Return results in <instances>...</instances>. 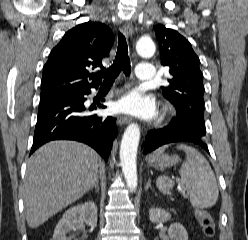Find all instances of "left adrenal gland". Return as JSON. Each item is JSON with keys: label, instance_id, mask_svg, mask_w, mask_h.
<instances>
[{"label": "left adrenal gland", "instance_id": "obj_1", "mask_svg": "<svg viewBox=\"0 0 248 240\" xmlns=\"http://www.w3.org/2000/svg\"><path fill=\"white\" fill-rule=\"evenodd\" d=\"M149 188H151V181L149 180L148 182H147V184H146V186H145V189L147 190V189H149ZM152 189V188H151ZM155 194H156V192L154 191V190H152Z\"/></svg>", "mask_w": 248, "mask_h": 240}]
</instances>
